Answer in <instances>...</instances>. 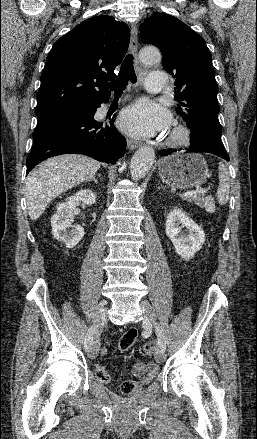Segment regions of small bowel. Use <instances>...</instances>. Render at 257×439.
Masks as SVG:
<instances>
[{
    "label": "small bowel",
    "instance_id": "obj_1",
    "mask_svg": "<svg viewBox=\"0 0 257 439\" xmlns=\"http://www.w3.org/2000/svg\"><path fill=\"white\" fill-rule=\"evenodd\" d=\"M104 352V347L99 343L98 354ZM133 375L142 383H150L158 373V367L155 363L144 364L141 361L134 363L132 367Z\"/></svg>",
    "mask_w": 257,
    "mask_h": 439
}]
</instances>
